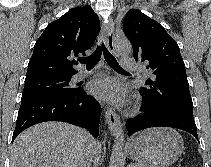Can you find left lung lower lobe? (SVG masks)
Here are the masks:
<instances>
[{"mask_svg":"<svg viewBox=\"0 0 211 167\" xmlns=\"http://www.w3.org/2000/svg\"><path fill=\"white\" fill-rule=\"evenodd\" d=\"M142 107L145 110L144 115L126 121L129 136L146 128L163 126L184 130L198 140L197 128L192 113L176 108L154 110L144 100Z\"/></svg>","mask_w":211,"mask_h":167,"instance_id":"obj_1","label":"left lung lower lobe"}]
</instances>
